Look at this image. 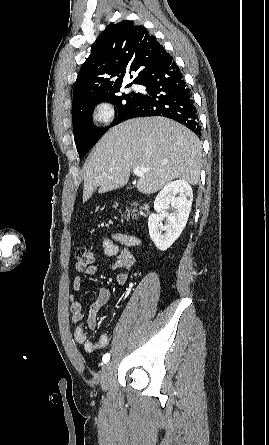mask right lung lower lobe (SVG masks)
I'll use <instances>...</instances> for the list:
<instances>
[{"label": "right lung lower lobe", "mask_w": 269, "mask_h": 445, "mask_svg": "<svg viewBox=\"0 0 269 445\" xmlns=\"http://www.w3.org/2000/svg\"><path fill=\"white\" fill-rule=\"evenodd\" d=\"M138 84L146 87L147 94H140L125 120L136 117L165 116L200 135L193 96L171 56L146 72Z\"/></svg>", "instance_id": "obj_1"}]
</instances>
